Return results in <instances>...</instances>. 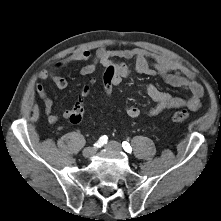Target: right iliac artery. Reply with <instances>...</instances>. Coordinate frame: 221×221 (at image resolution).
I'll list each match as a JSON object with an SVG mask.
<instances>
[{
  "label": "right iliac artery",
  "instance_id": "right-iliac-artery-1",
  "mask_svg": "<svg viewBox=\"0 0 221 221\" xmlns=\"http://www.w3.org/2000/svg\"><path fill=\"white\" fill-rule=\"evenodd\" d=\"M107 140H108V138H107L106 135L101 136V137L99 138V140L95 143L94 146H96L97 148H100V147H102L104 144L107 143Z\"/></svg>",
  "mask_w": 221,
  "mask_h": 221
}]
</instances>
